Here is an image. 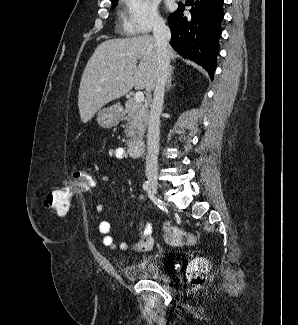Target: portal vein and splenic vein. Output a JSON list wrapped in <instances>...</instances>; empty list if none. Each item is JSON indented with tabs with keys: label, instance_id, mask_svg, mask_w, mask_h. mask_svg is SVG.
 Returning <instances> with one entry per match:
<instances>
[{
	"label": "portal vein and splenic vein",
	"instance_id": "1",
	"mask_svg": "<svg viewBox=\"0 0 298 325\" xmlns=\"http://www.w3.org/2000/svg\"><path fill=\"white\" fill-rule=\"evenodd\" d=\"M134 100L135 102H143L144 92H142V90H137V92H135Z\"/></svg>",
	"mask_w": 298,
	"mask_h": 325
}]
</instances>
